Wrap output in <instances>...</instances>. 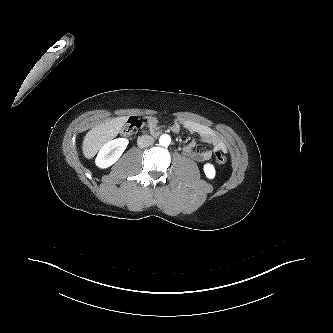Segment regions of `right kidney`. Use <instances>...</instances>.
Instances as JSON below:
<instances>
[{"label":"right kidney","mask_w":333,"mask_h":333,"mask_svg":"<svg viewBox=\"0 0 333 333\" xmlns=\"http://www.w3.org/2000/svg\"><path fill=\"white\" fill-rule=\"evenodd\" d=\"M128 143L126 138H117L107 142L97 154L96 166L105 169L113 165L121 157Z\"/></svg>","instance_id":"1"}]
</instances>
